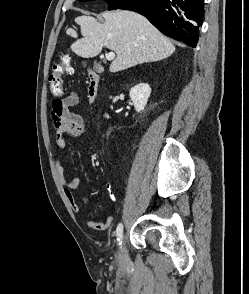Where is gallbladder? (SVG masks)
I'll list each match as a JSON object with an SVG mask.
<instances>
[{"mask_svg":"<svg viewBox=\"0 0 249 294\" xmlns=\"http://www.w3.org/2000/svg\"><path fill=\"white\" fill-rule=\"evenodd\" d=\"M100 72L102 71V69H98Z\"/></svg>","mask_w":249,"mask_h":294,"instance_id":"1","label":"gallbladder"}]
</instances>
